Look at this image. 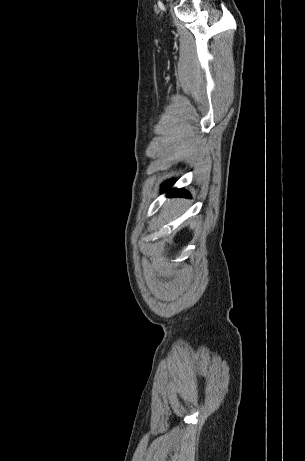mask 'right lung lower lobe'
<instances>
[{
  "instance_id": "98d812e1",
  "label": "right lung lower lobe",
  "mask_w": 305,
  "mask_h": 461,
  "mask_svg": "<svg viewBox=\"0 0 305 461\" xmlns=\"http://www.w3.org/2000/svg\"><path fill=\"white\" fill-rule=\"evenodd\" d=\"M173 181H169V182H166L162 187V190L163 191H167L168 189L171 188V186L173 185ZM170 195L171 196H187L188 193L185 192L183 189H174V190H170L169 191Z\"/></svg>"
}]
</instances>
